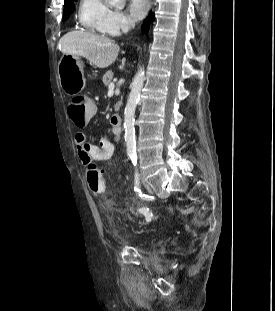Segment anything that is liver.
<instances>
[{"label": "liver", "mask_w": 275, "mask_h": 311, "mask_svg": "<svg viewBox=\"0 0 275 311\" xmlns=\"http://www.w3.org/2000/svg\"><path fill=\"white\" fill-rule=\"evenodd\" d=\"M64 55L85 57L98 68H107L117 58L120 47L112 39L89 31H71L59 41Z\"/></svg>", "instance_id": "obj_1"}]
</instances>
